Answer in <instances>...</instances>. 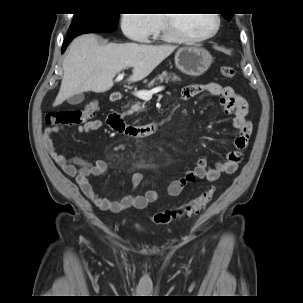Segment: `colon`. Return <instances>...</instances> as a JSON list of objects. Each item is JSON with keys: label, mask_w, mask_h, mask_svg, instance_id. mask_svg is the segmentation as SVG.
Here are the masks:
<instances>
[{"label": "colon", "mask_w": 303, "mask_h": 303, "mask_svg": "<svg viewBox=\"0 0 303 303\" xmlns=\"http://www.w3.org/2000/svg\"><path fill=\"white\" fill-rule=\"evenodd\" d=\"M221 73L226 78H233L236 71L231 66H222ZM98 110V102L90 101L82 110L62 109L50 111L45 116V122L49 126L56 125H75L89 121ZM215 188L210 187L198 197L184 203L181 206L164 210L151 216V220L156 224H167L170 221L185 217H191L201 213L213 199Z\"/></svg>", "instance_id": "colon-1"}]
</instances>
